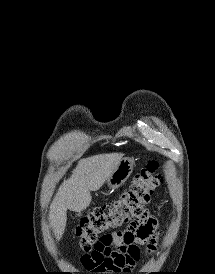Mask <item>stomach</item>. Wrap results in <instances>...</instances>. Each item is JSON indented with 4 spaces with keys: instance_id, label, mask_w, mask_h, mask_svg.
Here are the masks:
<instances>
[{
    "instance_id": "stomach-1",
    "label": "stomach",
    "mask_w": 215,
    "mask_h": 274,
    "mask_svg": "<svg viewBox=\"0 0 215 274\" xmlns=\"http://www.w3.org/2000/svg\"><path fill=\"white\" fill-rule=\"evenodd\" d=\"M134 162L130 158H123L112 174L106 179V184L111 190L118 189L129 178L133 171Z\"/></svg>"
}]
</instances>
